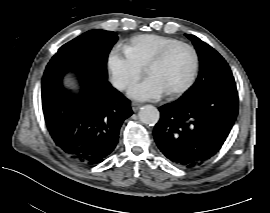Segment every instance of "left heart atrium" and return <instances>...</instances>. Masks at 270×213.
Masks as SVG:
<instances>
[{
    "mask_svg": "<svg viewBox=\"0 0 270 213\" xmlns=\"http://www.w3.org/2000/svg\"><path fill=\"white\" fill-rule=\"evenodd\" d=\"M164 93V88L157 78L150 76L144 81L133 86L129 95L140 101H153L159 99Z\"/></svg>",
    "mask_w": 270,
    "mask_h": 213,
    "instance_id": "obj_1",
    "label": "left heart atrium"
}]
</instances>
